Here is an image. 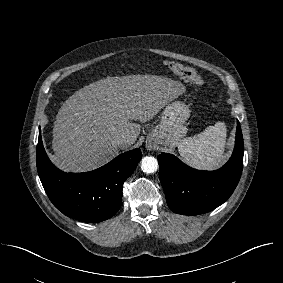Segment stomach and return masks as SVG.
Segmentation results:
<instances>
[{"mask_svg":"<svg viewBox=\"0 0 283 283\" xmlns=\"http://www.w3.org/2000/svg\"><path fill=\"white\" fill-rule=\"evenodd\" d=\"M190 116L189 107L181 101H173L164 107L159 124L147 136L148 146H167L173 148L178 145L187 134L185 125Z\"/></svg>","mask_w":283,"mask_h":283,"instance_id":"0dacf381","label":"stomach"}]
</instances>
